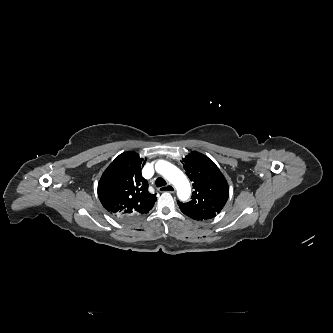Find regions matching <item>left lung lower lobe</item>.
<instances>
[{
  "label": "left lung lower lobe",
  "instance_id": "obj_1",
  "mask_svg": "<svg viewBox=\"0 0 333 333\" xmlns=\"http://www.w3.org/2000/svg\"><path fill=\"white\" fill-rule=\"evenodd\" d=\"M180 210L185 214L187 215L188 217L192 218V219H195V220H207V219H210L212 217H214L213 215H206V214H197V213H194V212H191V211H188L182 207H180Z\"/></svg>",
  "mask_w": 333,
  "mask_h": 333
}]
</instances>
